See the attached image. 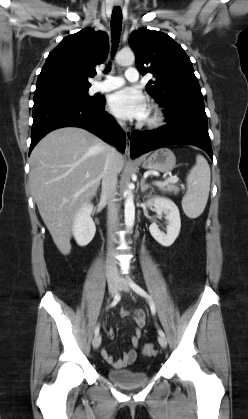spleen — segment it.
<instances>
[{
  "mask_svg": "<svg viewBox=\"0 0 248 419\" xmlns=\"http://www.w3.org/2000/svg\"><path fill=\"white\" fill-rule=\"evenodd\" d=\"M211 172L207 160L196 156V164L187 175V191L182 199L184 213L191 219L202 214L210 191Z\"/></svg>",
  "mask_w": 248,
  "mask_h": 419,
  "instance_id": "obj_1",
  "label": "spleen"
}]
</instances>
